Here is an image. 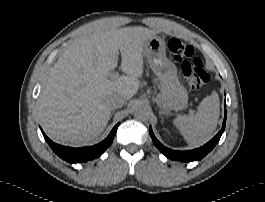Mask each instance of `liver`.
<instances>
[{"instance_id":"6515ba94","label":"liver","mask_w":265,"mask_h":202,"mask_svg":"<svg viewBox=\"0 0 265 202\" xmlns=\"http://www.w3.org/2000/svg\"><path fill=\"white\" fill-rule=\"evenodd\" d=\"M156 32L145 27L107 29L102 23L75 40L51 68L38 98L43 130L55 142L86 144L104 131L111 108L106 99H131L143 76V46ZM121 52L127 75L110 80Z\"/></svg>"}]
</instances>
